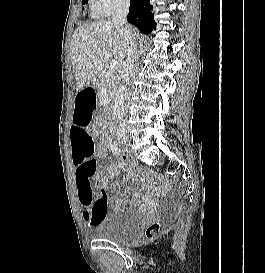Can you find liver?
Wrapping results in <instances>:
<instances>
[{"label":"liver","instance_id":"1","mask_svg":"<svg viewBox=\"0 0 265 273\" xmlns=\"http://www.w3.org/2000/svg\"><path fill=\"white\" fill-rule=\"evenodd\" d=\"M70 50L76 92H80L94 81L113 57L123 62L127 38L111 21L100 20L77 27L71 39Z\"/></svg>","mask_w":265,"mask_h":273}]
</instances>
